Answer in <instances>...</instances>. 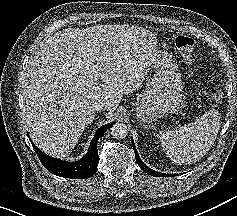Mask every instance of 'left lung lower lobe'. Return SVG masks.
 <instances>
[{"label": "left lung lower lobe", "instance_id": "obj_1", "mask_svg": "<svg viewBox=\"0 0 237 216\" xmlns=\"http://www.w3.org/2000/svg\"><path fill=\"white\" fill-rule=\"evenodd\" d=\"M132 140V144H133V149H134V152H135V158H136V162L137 164L139 165V167L144 171L146 172L147 174H150L152 176H155V177H162V176H175V175H178V174H164V173H159L157 171H154L152 169H150L149 167H147L143 162L142 160L140 159L137 151H136V148H135V145H134V141L133 139L131 138Z\"/></svg>", "mask_w": 237, "mask_h": 216}]
</instances>
